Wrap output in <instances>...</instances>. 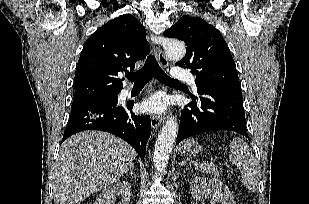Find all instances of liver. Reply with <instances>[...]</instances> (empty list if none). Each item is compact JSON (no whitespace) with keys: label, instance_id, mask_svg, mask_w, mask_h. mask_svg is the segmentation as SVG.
Returning a JSON list of instances; mask_svg holds the SVG:
<instances>
[{"label":"liver","instance_id":"1","mask_svg":"<svg viewBox=\"0 0 309 204\" xmlns=\"http://www.w3.org/2000/svg\"><path fill=\"white\" fill-rule=\"evenodd\" d=\"M136 151L102 131H83L61 145L54 165V204H80L118 181L133 166Z\"/></svg>","mask_w":309,"mask_h":204}]
</instances>
